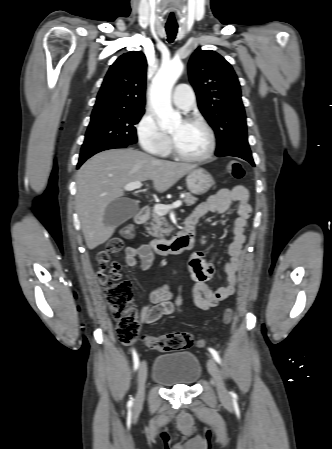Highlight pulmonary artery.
Listing matches in <instances>:
<instances>
[{
  "label": "pulmonary artery",
  "instance_id": "obj_1",
  "mask_svg": "<svg viewBox=\"0 0 332 449\" xmlns=\"http://www.w3.org/2000/svg\"><path fill=\"white\" fill-rule=\"evenodd\" d=\"M172 102L181 110H190L195 103V94L191 86L186 83L178 84L173 92Z\"/></svg>",
  "mask_w": 332,
  "mask_h": 449
}]
</instances>
